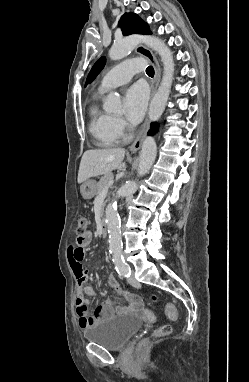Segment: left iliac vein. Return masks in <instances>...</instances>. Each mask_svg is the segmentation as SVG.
I'll return each instance as SVG.
<instances>
[{"mask_svg":"<svg viewBox=\"0 0 249 382\" xmlns=\"http://www.w3.org/2000/svg\"><path fill=\"white\" fill-rule=\"evenodd\" d=\"M128 282H129L130 284H132V285L137 283L136 279H135L133 276H130V277L128 278Z\"/></svg>","mask_w":249,"mask_h":382,"instance_id":"left-iliac-vein-1","label":"left iliac vein"}]
</instances>
